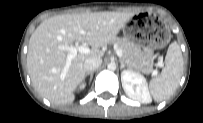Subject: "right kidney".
Segmentation results:
<instances>
[{"instance_id":"obj_1","label":"right kidney","mask_w":203,"mask_h":123,"mask_svg":"<svg viewBox=\"0 0 203 123\" xmlns=\"http://www.w3.org/2000/svg\"><path fill=\"white\" fill-rule=\"evenodd\" d=\"M85 86H86V84H82V85L80 86V90L84 89Z\"/></svg>"}]
</instances>
